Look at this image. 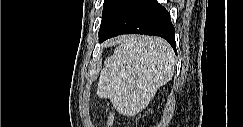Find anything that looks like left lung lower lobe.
<instances>
[{
	"label": "left lung lower lobe",
	"instance_id": "1",
	"mask_svg": "<svg viewBox=\"0 0 243 127\" xmlns=\"http://www.w3.org/2000/svg\"><path fill=\"white\" fill-rule=\"evenodd\" d=\"M121 34H144L166 39L176 53L175 28L168 11L157 0H122L99 29V40Z\"/></svg>",
	"mask_w": 243,
	"mask_h": 127
}]
</instances>
